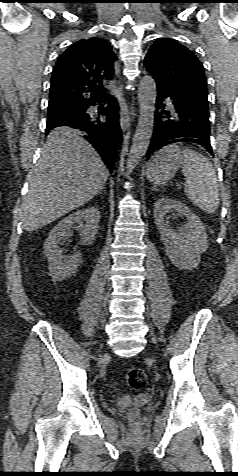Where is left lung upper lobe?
I'll return each instance as SVG.
<instances>
[{"instance_id":"left-lung-upper-lobe-1","label":"left lung upper lobe","mask_w":238,"mask_h":476,"mask_svg":"<svg viewBox=\"0 0 238 476\" xmlns=\"http://www.w3.org/2000/svg\"><path fill=\"white\" fill-rule=\"evenodd\" d=\"M145 67L158 91L169 94L181 104L209 110L204 67L188 48L160 38L150 47Z\"/></svg>"}]
</instances>
